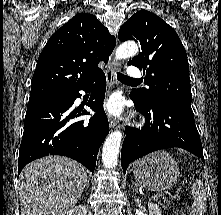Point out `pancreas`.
<instances>
[{
    "label": "pancreas",
    "instance_id": "1",
    "mask_svg": "<svg viewBox=\"0 0 221 215\" xmlns=\"http://www.w3.org/2000/svg\"><path fill=\"white\" fill-rule=\"evenodd\" d=\"M164 204H165V207H168L169 204H170L169 200L168 199H164Z\"/></svg>",
    "mask_w": 221,
    "mask_h": 215
}]
</instances>
